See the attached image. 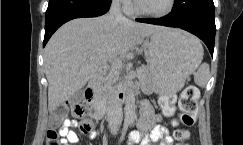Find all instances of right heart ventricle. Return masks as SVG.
<instances>
[{"label": "right heart ventricle", "mask_w": 243, "mask_h": 145, "mask_svg": "<svg viewBox=\"0 0 243 145\" xmlns=\"http://www.w3.org/2000/svg\"><path fill=\"white\" fill-rule=\"evenodd\" d=\"M129 11H131V8L129 7V9H128Z\"/></svg>", "instance_id": "right-heart-ventricle-1"}]
</instances>
